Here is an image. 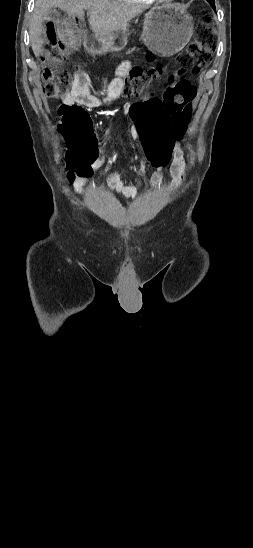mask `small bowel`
<instances>
[{
    "instance_id": "obj_1",
    "label": "small bowel",
    "mask_w": 253,
    "mask_h": 548,
    "mask_svg": "<svg viewBox=\"0 0 253 548\" xmlns=\"http://www.w3.org/2000/svg\"><path fill=\"white\" fill-rule=\"evenodd\" d=\"M133 65L130 62H124L117 69V77L110 83L108 86L105 95L103 98L95 96L90 89V79L88 75L83 71H77L73 76V85L68 94L63 98L65 105H83L88 108H100V107H109L112 106L117 100L123 79L130 74L133 70ZM170 80H173V76L170 77ZM134 104H128L126 106L125 112L131 113V108ZM135 138L138 137V133H133ZM171 158L172 163L170 166V172L173 177V181L170 185L165 188L171 192H174L179 187L184 168V154L180 143L174 139V144L171 148ZM107 159L106 157L97 158L91 165V171L102 168ZM156 171L152 174L150 178L151 186L154 188H161L163 181V166H155ZM137 172L139 175H144L146 172V163L144 160H141L138 165ZM87 176H78L73 181L74 190L81 194L82 187L86 181ZM108 185L110 189L116 192L119 195H122L125 198L135 199L137 197V190L132 185L124 184L121 176L117 172H112L108 175L107 178Z\"/></svg>"
}]
</instances>
